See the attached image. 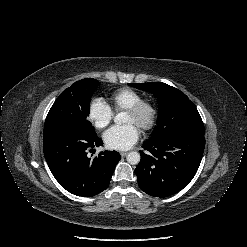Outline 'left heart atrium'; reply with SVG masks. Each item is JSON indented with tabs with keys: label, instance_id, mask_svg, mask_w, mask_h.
<instances>
[{
	"label": "left heart atrium",
	"instance_id": "left-heart-atrium-1",
	"mask_svg": "<svg viewBox=\"0 0 247 247\" xmlns=\"http://www.w3.org/2000/svg\"><path fill=\"white\" fill-rule=\"evenodd\" d=\"M103 138L110 149L127 150L139 139V130L134 123L117 125L108 129Z\"/></svg>",
	"mask_w": 247,
	"mask_h": 247
}]
</instances>
